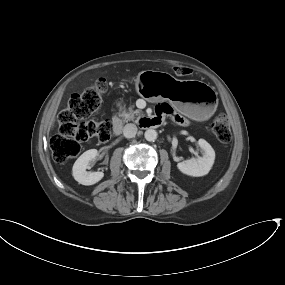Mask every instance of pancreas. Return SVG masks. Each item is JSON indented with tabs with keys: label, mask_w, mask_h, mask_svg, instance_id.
I'll return each mask as SVG.
<instances>
[{
	"label": "pancreas",
	"mask_w": 285,
	"mask_h": 285,
	"mask_svg": "<svg viewBox=\"0 0 285 285\" xmlns=\"http://www.w3.org/2000/svg\"><path fill=\"white\" fill-rule=\"evenodd\" d=\"M134 106H130L126 109L125 106H119L118 116L121 118L123 122L134 121L138 122L140 117L143 115L141 110H133ZM137 116V117H135Z\"/></svg>",
	"instance_id": "1"
}]
</instances>
